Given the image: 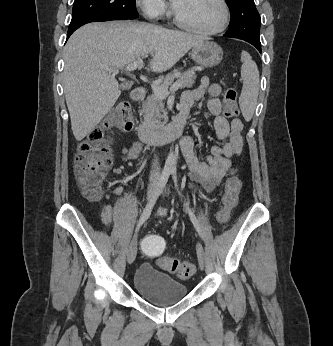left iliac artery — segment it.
I'll return each mask as SVG.
<instances>
[{
	"label": "left iliac artery",
	"instance_id": "1",
	"mask_svg": "<svg viewBox=\"0 0 333 346\" xmlns=\"http://www.w3.org/2000/svg\"><path fill=\"white\" fill-rule=\"evenodd\" d=\"M172 174H173V179H174V182H175V185L178 189V184H177V177H176V169H172ZM185 208H186V211L188 212L189 214V217L195 227V229L197 230V232L199 233V235H201V227H200V224L195 216V214L193 213V211L189 208V206L187 204H184Z\"/></svg>",
	"mask_w": 333,
	"mask_h": 346
}]
</instances>
